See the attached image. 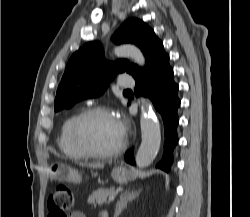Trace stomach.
I'll list each match as a JSON object with an SVG mask.
<instances>
[{"label":"stomach","instance_id":"stomach-1","mask_svg":"<svg viewBox=\"0 0 250 217\" xmlns=\"http://www.w3.org/2000/svg\"><path fill=\"white\" fill-rule=\"evenodd\" d=\"M50 172L52 178L58 181H67L73 183H78L81 181L80 174L75 169L63 163L53 164L51 166ZM111 177L117 183L124 184L134 178V173L124 166H117L112 170Z\"/></svg>","mask_w":250,"mask_h":217}]
</instances>
